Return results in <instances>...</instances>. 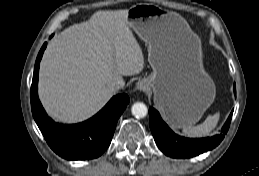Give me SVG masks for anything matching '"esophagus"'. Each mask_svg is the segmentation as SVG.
I'll return each instance as SVG.
<instances>
[{"label": "esophagus", "mask_w": 259, "mask_h": 176, "mask_svg": "<svg viewBox=\"0 0 259 176\" xmlns=\"http://www.w3.org/2000/svg\"><path fill=\"white\" fill-rule=\"evenodd\" d=\"M147 87H148V86H147L146 82H144L143 80L138 81L137 84H136V88H137L138 90H140V91L146 90Z\"/></svg>", "instance_id": "1"}]
</instances>
